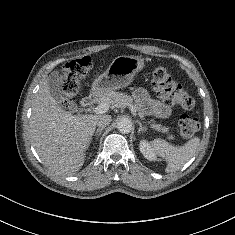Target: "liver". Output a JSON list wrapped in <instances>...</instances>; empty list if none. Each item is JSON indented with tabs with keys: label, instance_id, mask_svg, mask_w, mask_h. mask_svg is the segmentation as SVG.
Returning <instances> with one entry per match:
<instances>
[{
	"label": "liver",
	"instance_id": "6515ba94",
	"mask_svg": "<svg viewBox=\"0 0 235 235\" xmlns=\"http://www.w3.org/2000/svg\"><path fill=\"white\" fill-rule=\"evenodd\" d=\"M100 116L65 111L45 79L35 96L30 120L33 146L44 164L62 175L79 171Z\"/></svg>",
	"mask_w": 235,
	"mask_h": 235
}]
</instances>
